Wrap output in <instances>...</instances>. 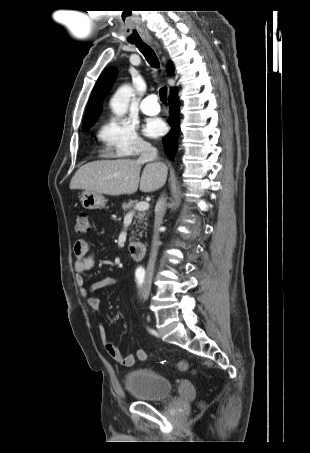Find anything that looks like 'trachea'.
<instances>
[{"label": "trachea", "instance_id": "3493384b", "mask_svg": "<svg viewBox=\"0 0 310 453\" xmlns=\"http://www.w3.org/2000/svg\"><path fill=\"white\" fill-rule=\"evenodd\" d=\"M131 43L135 44L137 46V48L144 55L145 59L152 67L159 68L158 58L150 46H148L142 40L134 41ZM159 93H160V100L162 101V103L167 104V87L166 86L162 87L160 89Z\"/></svg>", "mask_w": 310, "mask_h": 453}]
</instances>
